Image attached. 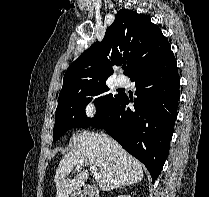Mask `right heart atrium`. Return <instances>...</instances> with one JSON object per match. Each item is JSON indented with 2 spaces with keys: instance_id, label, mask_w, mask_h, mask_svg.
I'll return each mask as SVG.
<instances>
[{
  "instance_id": "d8ad5b80",
  "label": "right heart atrium",
  "mask_w": 209,
  "mask_h": 197,
  "mask_svg": "<svg viewBox=\"0 0 209 197\" xmlns=\"http://www.w3.org/2000/svg\"><path fill=\"white\" fill-rule=\"evenodd\" d=\"M95 108H96L95 103L92 100H88L83 105V112L87 116H91L94 114Z\"/></svg>"
}]
</instances>
